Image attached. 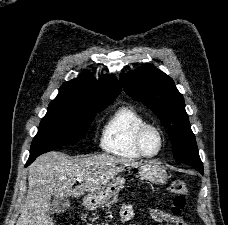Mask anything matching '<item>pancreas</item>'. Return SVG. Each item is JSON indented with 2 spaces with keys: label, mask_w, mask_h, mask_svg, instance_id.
Wrapping results in <instances>:
<instances>
[{
  "label": "pancreas",
  "mask_w": 228,
  "mask_h": 225,
  "mask_svg": "<svg viewBox=\"0 0 228 225\" xmlns=\"http://www.w3.org/2000/svg\"><path fill=\"white\" fill-rule=\"evenodd\" d=\"M118 197H113L112 201H106L105 207H108L110 209L111 205H114V203H117ZM93 215H96V213H93ZM98 217L96 219H93V221H97Z\"/></svg>",
  "instance_id": "cf45deb5"
}]
</instances>
